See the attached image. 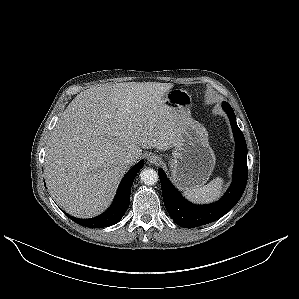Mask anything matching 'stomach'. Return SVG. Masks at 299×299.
I'll use <instances>...</instances> for the list:
<instances>
[{"label": "stomach", "mask_w": 299, "mask_h": 299, "mask_svg": "<svg viewBox=\"0 0 299 299\" xmlns=\"http://www.w3.org/2000/svg\"><path fill=\"white\" fill-rule=\"evenodd\" d=\"M164 99L184 119L180 142L170 160L173 181L182 190L200 187L208 181L216 162L208 133L203 125L190 118L191 94L187 90H169Z\"/></svg>", "instance_id": "obj_1"}]
</instances>
